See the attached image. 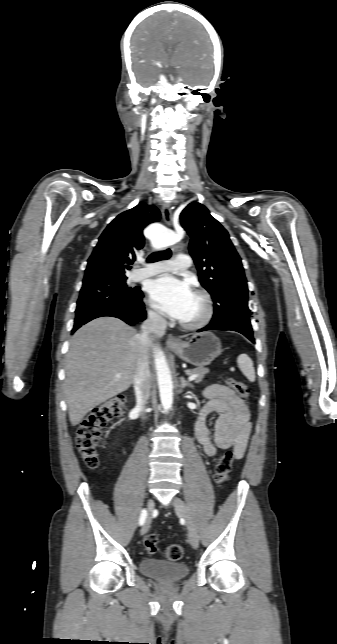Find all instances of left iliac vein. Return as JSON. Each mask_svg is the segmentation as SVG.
Here are the masks:
<instances>
[{
  "label": "left iliac vein",
  "instance_id": "left-iliac-vein-1",
  "mask_svg": "<svg viewBox=\"0 0 337 644\" xmlns=\"http://www.w3.org/2000/svg\"><path fill=\"white\" fill-rule=\"evenodd\" d=\"M173 505L175 507L176 513L185 519L186 521V526L188 529V541L192 545L193 548H197L199 544V536H198V531L196 528V525L192 519V516L190 514V511L187 507V505L184 503L182 499L179 497H174L173 498Z\"/></svg>",
  "mask_w": 337,
  "mask_h": 644
}]
</instances>
